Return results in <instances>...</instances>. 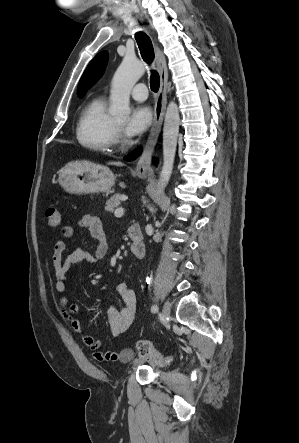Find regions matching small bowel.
Wrapping results in <instances>:
<instances>
[{"label": "small bowel", "instance_id": "1", "mask_svg": "<svg viewBox=\"0 0 299 443\" xmlns=\"http://www.w3.org/2000/svg\"><path fill=\"white\" fill-rule=\"evenodd\" d=\"M80 228L88 229L91 237L96 240L97 246L93 254L84 250H75L64 255L67 243L65 240H58L53 249V270L55 274V291L57 292L56 307L62 318L68 321L72 329L81 337L83 343L92 352L93 357L99 362H115L120 359V354L115 351H102L103 342L87 335L80 319L76 314L80 311V306L70 303L65 294L67 286V274L69 270L80 262L93 264L103 259L107 254V242L101 221L92 215H84L77 223ZM61 235L65 239L73 238L74 228L66 225L61 229ZM117 294L121 300V305L111 307L107 313V322L111 334L115 337L126 332L132 325L136 307L137 297L135 292L125 283L117 287Z\"/></svg>", "mask_w": 299, "mask_h": 443}]
</instances>
